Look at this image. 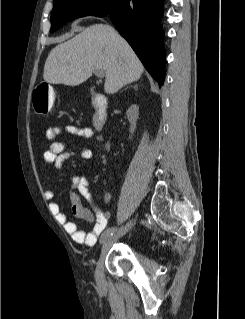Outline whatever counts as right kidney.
Instances as JSON below:
<instances>
[{"label":"right kidney","mask_w":245,"mask_h":319,"mask_svg":"<svg viewBox=\"0 0 245 319\" xmlns=\"http://www.w3.org/2000/svg\"><path fill=\"white\" fill-rule=\"evenodd\" d=\"M127 118L131 123L130 133L133 134L136 129V122L139 115V107L137 105H131V107L126 112Z\"/></svg>","instance_id":"1"}]
</instances>
